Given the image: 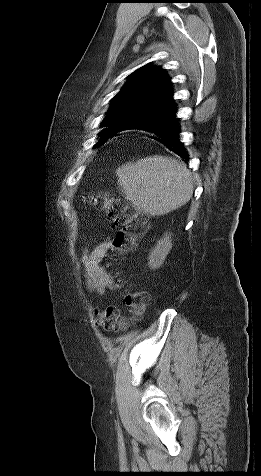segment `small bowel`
<instances>
[{
	"label": "small bowel",
	"instance_id": "small-bowel-1",
	"mask_svg": "<svg viewBox=\"0 0 261 476\" xmlns=\"http://www.w3.org/2000/svg\"><path fill=\"white\" fill-rule=\"evenodd\" d=\"M111 245L104 241L84 254L85 277L88 288L99 294L114 288V281L101 262L105 258Z\"/></svg>",
	"mask_w": 261,
	"mask_h": 476
}]
</instances>
